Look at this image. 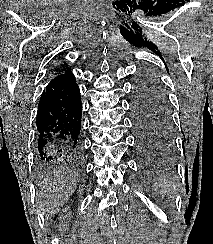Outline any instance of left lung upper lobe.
Instances as JSON below:
<instances>
[{
  "mask_svg": "<svg viewBox=\"0 0 213 244\" xmlns=\"http://www.w3.org/2000/svg\"><path fill=\"white\" fill-rule=\"evenodd\" d=\"M133 113L152 126L159 137L169 139L173 125L170 105L158 78L150 72H143L135 83Z\"/></svg>",
  "mask_w": 213,
  "mask_h": 244,
  "instance_id": "left-lung-upper-lobe-1",
  "label": "left lung upper lobe"
}]
</instances>
